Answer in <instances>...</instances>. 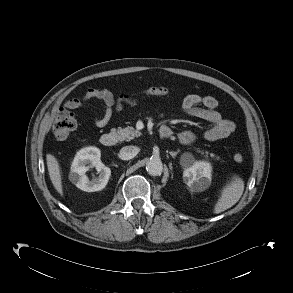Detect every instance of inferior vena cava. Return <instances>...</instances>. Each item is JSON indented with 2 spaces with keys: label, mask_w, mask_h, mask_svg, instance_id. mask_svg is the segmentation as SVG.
I'll list each match as a JSON object with an SVG mask.
<instances>
[{
  "label": "inferior vena cava",
  "mask_w": 293,
  "mask_h": 293,
  "mask_svg": "<svg viewBox=\"0 0 293 293\" xmlns=\"http://www.w3.org/2000/svg\"><path fill=\"white\" fill-rule=\"evenodd\" d=\"M139 152V149L135 146H125L121 148L119 157L122 160H130L134 158Z\"/></svg>",
  "instance_id": "1"
}]
</instances>
